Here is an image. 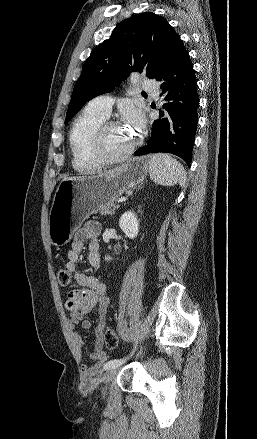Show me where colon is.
<instances>
[{"label": "colon", "instance_id": "obj_1", "mask_svg": "<svg viewBox=\"0 0 257 439\" xmlns=\"http://www.w3.org/2000/svg\"><path fill=\"white\" fill-rule=\"evenodd\" d=\"M57 279L61 286L66 287L71 282V275L65 269H61L57 273ZM103 340L110 349L116 348L119 344V338L116 332L110 328L103 330Z\"/></svg>", "mask_w": 257, "mask_h": 439}]
</instances>
